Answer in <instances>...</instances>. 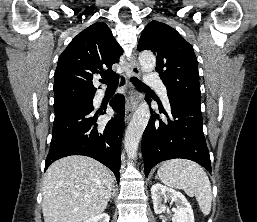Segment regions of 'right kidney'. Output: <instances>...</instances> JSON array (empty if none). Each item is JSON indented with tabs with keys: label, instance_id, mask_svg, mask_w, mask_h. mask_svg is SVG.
<instances>
[{
	"label": "right kidney",
	"instance_id": "ca27d5eb",
	"mask_svg": "<svg viewBox=\"0 0 257 222\" xmlns=\"http://www.w3.org/2000/svg\"><path fill=\"white\" fill-rule=\"evenodd\" d=\"M110 217L107 213H101L97 216L91 217L84 222H109Z\"/></svg>",
	"mask_w": 257,
	"mask_h": 222
}]
</instances>
